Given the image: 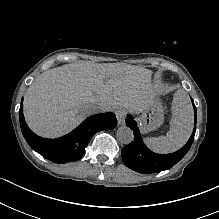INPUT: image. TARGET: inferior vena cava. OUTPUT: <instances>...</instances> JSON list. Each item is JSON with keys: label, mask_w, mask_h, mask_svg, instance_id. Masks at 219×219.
<instances>
[{"label": "inferior vena cava", "mask_w": 219, "mask_h": 219, "mask_svg": "<svg viewBox=\"0 0 219 219\" xmlns=\"http://www.w3.org/2000/svg\"><path fill=\"white\" fill-rule=\"evenodd\" d=\"M89 109L91 110L92 113H99V112L109 111L108 107L106 105L101 104V103L90 104Z\"/></svg>", "instance_id": "obj_1"}]
</instances>
